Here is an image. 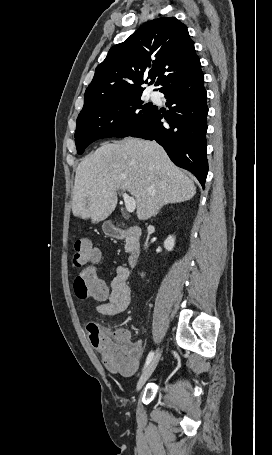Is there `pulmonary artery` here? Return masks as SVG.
<instances>
[{"label":"pulmonary artery","instance_id":"1","mask_svg":"<svg viewBox=\"0 0 272 455\" xmlns=\"http://www.w3.org/2000/svg\"><path fill=\"white\" fill-rule=\"evenodd\" d=\"M150 96H151L152 99L158 98V94L155 93V92H152Z\"/></svg>","mask_w":272,"mask_h":455}]
</instances>
